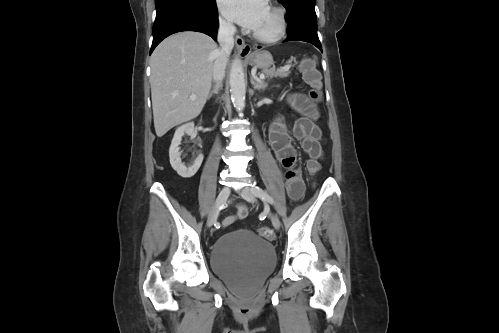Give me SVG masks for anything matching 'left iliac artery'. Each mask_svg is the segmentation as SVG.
<instances>
[{"label": "left iliac artery", "mask_w": 499, "mask_h": 333, "mask_svg": "<svg viewBox=\"0 0 499 333\" xmlns=\"http://www.w3.org/2000/svg\"><path fill=\"white\" fill-rule=\"evenodd\" d=\"M252 192L255 196H257L258 198H260L262 201L264 202H268L270 204H274V200L273 198L265 191L263 190L262 188L260 187H252Z\"/></svg>", "instance_id": "1"}]
</instances>
